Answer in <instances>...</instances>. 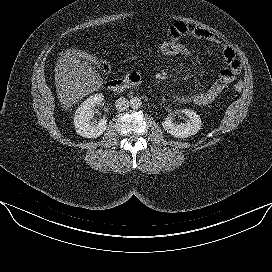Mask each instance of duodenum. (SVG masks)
Returning <instances> with one entry per match:
<instances>
[{
  "label": "duodenum",
  "instance_id": "obj_1",
  "mask_svg": "<svg viewBox=\"0 0 272 272\" xmlns=\"http://www.w3.org/2000/svg\"><path fill=\"white\" fill-rule=\"evenodd\" d=\"M140 83V76L138 74H128L122 79H114L106 82V87L114 92H122L130 87L136 86Z\"/></svg>",
  "mask_w": 272,
  "mask_h": 272
}]
</instances>
